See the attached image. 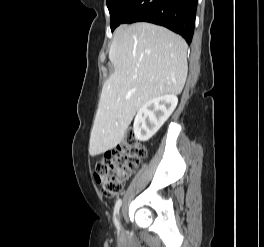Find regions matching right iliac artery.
Returning <instances> with one entry per match:
<instances>
[{"label":"right iliac artery","mask_w":264,"mask_h":247,"mask_svg":"<svg viewBox=\"0 0 264 247\" xmlns=\"http://www.w3.org/2000/svg\"><path fill=\"white\" fill-rule=\"evenodd\" d=\"M122 204V200L121 199H118L116 204H115V207H114V216H113V219H114V223H115V226L117 227L118 231L120 230V223L117 219V214L119 212V209H120V206Z\"/></svg>","instance_id":"82829eb1"}]
</instances>
